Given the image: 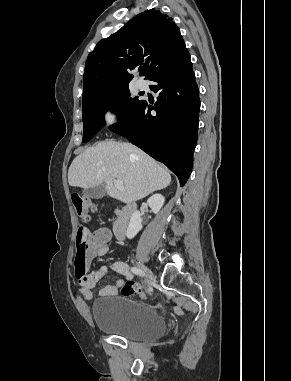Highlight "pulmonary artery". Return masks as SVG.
Listing matches in <instances>:
<instances>
[{"label": "pulmonary artery", "instance_id": "obj_1", "mask_svg": "<svg viewBox=\"0 0 291 381\" xmlns=\"http://www.w3.org/2000/svg\"><path fill=\"white\" fill-rule=\"evenodd\" d=\"M136 86H137L138 89L144 90V89H146L147 84H146V82L144 80L139 79L136 82Z\"/></svg>", "mask_w": 291, "mask_h": 381}]
</instances>
